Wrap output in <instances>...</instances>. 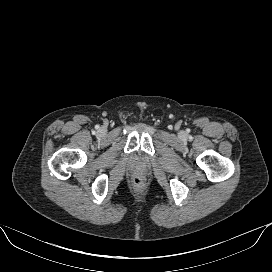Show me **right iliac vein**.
I'll return each instance as SVG.
<instances>
[{"instance_id": "63e3f726", "label": "right iliac vein", "mask_w": 272, "mask_h": 272, "mask_svg": "<svg viewBox=\"0 0 272 272\" xmlns=\"http://www.w3.org/2000/svg\"><path fill=\"white\" fill-rule=\"evenodd\" d=\"M100 133H104V130H103V129H101V130H100Z\"/></svg>"}]
</instances>
